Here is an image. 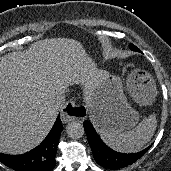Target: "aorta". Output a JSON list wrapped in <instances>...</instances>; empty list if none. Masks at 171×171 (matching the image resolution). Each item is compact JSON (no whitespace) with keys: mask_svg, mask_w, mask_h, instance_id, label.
Instances as JSON below:
<instances>
[{"mask_svg":"<svg viewBox=\"0 0 171 171\" xmlns=\"http://www.w3.org/2000/svg\"><path fill=\"white\" fill-rule=\"evenodd\" d=\"M66 133L71 139H80L84 135V128L79 122H70L66 126Z\"/></svg>","mask_w":171,"mask_h":171,"instance_id":"762f6f07","label":"aorta"}]
</instances>
